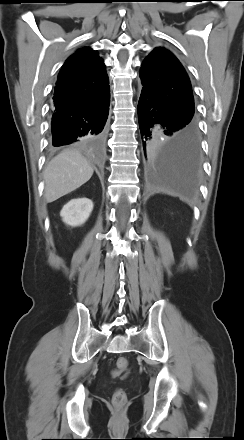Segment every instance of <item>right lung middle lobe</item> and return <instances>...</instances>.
<instances>
[{
	"mask_svg": "<svg viewBox=\"0 0 244 440\" xmlns=\"http://www.w3.org/2000/svg\"><path fill=\"white\" fill-rule=\"evenodd\" d=\"M102 138L100 136L90 137L84 140L83 142H97L100 141Z\"/></svg>",
	"mask_w": 244,
	"mask_h": 440,
	"instance_id": "dd1d6c3e",
	"label": "right lung middle lobe"
}]
</instances>
